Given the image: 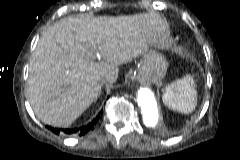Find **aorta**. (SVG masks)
Instances as JSON below:
<instances>
[{"label": "aorta", "instance_id": "1", "mask_svg": "<svg viewBox=\"0 0 240 160\" xmlns=\"http://www.w3.org/2000/svg\"><path fill=\"white\" fill-rule=\"evenodd\" d=\"M137 102L144 124L148 127H154L159 118V109L152 91L148 88H140L137 93Z\"/></svg>", "mask_w": 240, "mask_h": 160}]
</instances>
